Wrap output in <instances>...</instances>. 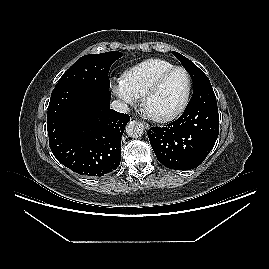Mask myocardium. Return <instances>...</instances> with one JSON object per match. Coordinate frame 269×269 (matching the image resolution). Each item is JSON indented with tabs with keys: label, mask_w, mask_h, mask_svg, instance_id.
I'll list each match as a JSON object with an SVG mask.
<instances>
[{
	"label": "myocardium",
	"mask_w": 269,
	"mask_h": 269,
	"mask_svg": "<svg viewBox=\"0 0 269 269\" xmlns=\"http://www.w3.org/2000/svg\"><path fill=\"white\" fill-rule=\"evenodd\" d=\"M176 71H183L186 74L187 77V90L185 93V96L181 102V104L174 109L171 112H168L166 114H162V115H153L150 114L147 111V103L149 101V99L158 92V90L161 88V86L163 85V83L165 82V80L174 72ZM192 87H193V82H192V77L189 73V71L182 67V66H174L171 69L163 72L143 93L142 95V99H141V106L143 111L147 114V116L152 119L155 122H160V123H164V122H168L171 121L173 119H175L177 116H179L187 107L189 100H190V96L192 93Z\"/></svg>",
	"instance_id": "myocardium-1"
}]
</instances>
